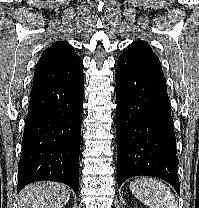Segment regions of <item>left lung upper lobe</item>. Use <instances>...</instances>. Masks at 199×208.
I'll list each match as a JSON object with an SVG mask.
<instances>
[{"label":"left lung upper lobe","instance_id":"obj_1","mask_svg":"<svg viewBox=\"0 0 199 208\" xmlns=\"http://www.w3.org/2000/svg\"><path fill=\"white\" fill-rule=\"evenodd\" d=\"M121 56L131 58L141 65L163 74L161 63L158 57L152 51L149 44L144 41L133 42L122 53Z\"/></svg>","mask_w":199,"mask_h":208}]
</instances>
